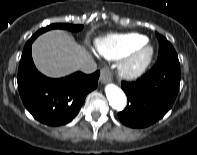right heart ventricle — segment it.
Wrapping results in <instances>:
<instances>
[{
	"label": "right heart ventricle",
	"instance_id": "obj_1",
	"mask_svg": "<svg viewBox=\"0 0 197 155\" xmlns=\"http://www.w3.org/2000/svg\"><path fill=\"white\" fill-rule=\"evenodd\" d=\"M146 41V36L138 33L111 34L98 38L95 41V49L106 59L113 60L127 55Z\"/></svg>",
	"mask_w": 197,
	"mask_h": 155
}]
</instances>
